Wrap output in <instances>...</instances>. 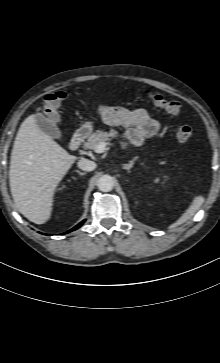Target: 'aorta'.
I'll list each match as a JSON object with an SVG mask.
<instances>
[{
    "label": "aorta",
    "mask_w": 220,
    "mask_h": 363,
    "mask_svg": "<svg viewBox=\"0 0 220 363\" xmlns=\"http://www.w3.org/2000/svg\"><path fill=\"white\" fill-rule=\"evenodd\" d=\"M98 189L102 192H109L113 189L114 178L110 175H102L97 181Z\"/></svg>",
    "instance_id": "obj_1"
}]
</instances>
